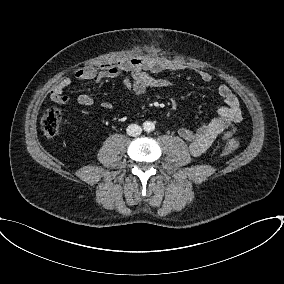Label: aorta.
Returning <instances> with one entry per match:
<instances>
[{
    "instance_id": "aorta-1",
    "label": "aorta",
    "mask_w": 284,
    "mask_h": 284,
    "mask_svg": "<svg viewBox=\"0 0 284 284\" xmlns=\"http://www.w3.org/2000/svg\"><path fill=\"white\" fill-rule=\"evenodd\" d=\"M143 128H144L145 131L150 132V131H153L155 129V125L151 121H146L143 124Z\"/></svg>"
}]
</instances>
